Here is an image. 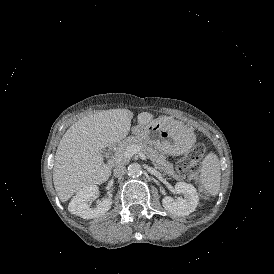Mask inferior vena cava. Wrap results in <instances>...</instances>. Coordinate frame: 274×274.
<instances>
[{
	"label": "inferior vena cava",
	"instance_id": "obj_1",
	"mask_svg": "<svg viewBox=\"0 0 274 274\" xmlns=\"http://www.w3.org/2000/svg\"><path fill=\"white\" fill-rule=\"evenodd\" d=\"M127 172L125 166L116 167L113 171V175L117 178L122 177Z\"/></svg>",
	"mask_w": 274,
	"mask_h": 274
}]
</instances>
